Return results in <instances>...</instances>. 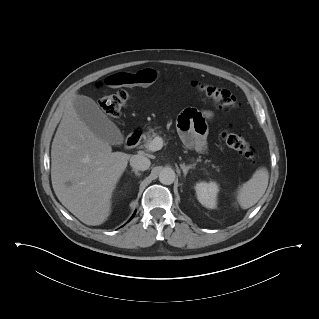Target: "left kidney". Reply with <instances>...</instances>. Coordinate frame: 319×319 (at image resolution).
Segmentation results:
<instances>
[{
  "label": "left kidney",
  "instance_id": "1",
  "mask_svg": "<svg viewBox=\"0 0 319 319\" xmlns=\"http://www.w3.org/2000/svg\"><path fill=\"white\" fill-rule=\"evenodd\" d=\"M198 201L206 208L214 209L217 205L219 186L216 182H198L195 185Z\"/></svg>",
  "mask_w": 319,
  "mask_h": 319
}]
</instances>
